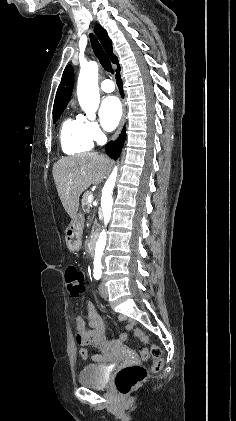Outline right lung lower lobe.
<instances>
[{
	"label": "right lung lower lobe",
	"instance_id": "right-lung-lower-lobe-1",
	"mask_svg": "<svg viewBox=\"0 0 236 421\" xmlns=\"http://www.w3.org/2000/svg\"><path fill=\"white\" fill-rule=\"evenodd\" d=\"M116 82L119 87V91L123 97L124 93L122 90L120 68L116 71ZM125 137H126L125 128H123L122 133L119 136V138L115 142L111 141L105 146L106 153L109 157L113 158L114 160H116L119 157L123 144H124Z\"/></svg>",
	"mask_w": 236,
	"mask_h": 421
}]
</instances>
